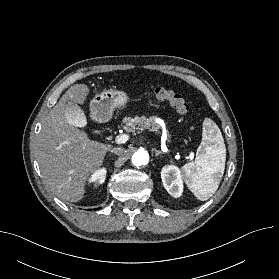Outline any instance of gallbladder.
I'll return each instance as SVG.
<instances>
[{
	"instance_id": "bac80fb5",
	"label": "gallbladder",
	"mask_w": 279,
	"mask_h": 279,
	"mask_svg": "<svg viewBox=\"0 0 279 279\" xmlns=\"http://www.w3.org/2000/svg\"><path fill=\"white\" fill-rule=\"evenodd\" d=\"M68 120L75 126L82 127L85 125V117L79 106L68 102L65 106Z\"/></svg>"
}]
</instances>
